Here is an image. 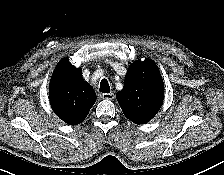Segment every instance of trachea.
I'll return each mask as SVG.
<instances>
[{
	"mask_svg": "<svg viewBox=\"0 0 224 175\" xmlns=\"http://www.w3.org/2000/svg\"><path fill=\"white\" fill-rule=\"evenodd\" d=\"M99 91L102 92V93H109L110 92V86H109L108 81L106 79L101 80Z\"/></svg>",
	"mask_w": 224,
	"mask_h": 175,
	"instance_id": "3493384b",
	"label": "trachea"
}]
</instances>
